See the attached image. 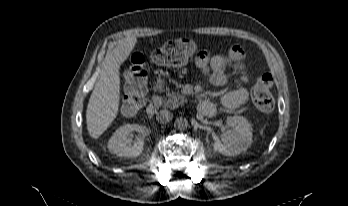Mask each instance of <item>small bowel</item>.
<instances>
[{
  "mask_svg": "<svg viewBox=\"0 0 348 206\" xmlns=\"http://www.w3.org/2000/svg\"><path fill=\"white\" fill-rule=\"evenodd\" d=\"M196 66L201 73L207 74L212 84L224 86L231 81L226 75L228 69L239 74L238 87L226 92L221 98L222 104L229 109L236 108L246 102L248 92L246 83L249 75L245 65V53L240 46H231L227 54L210 57L207 51H201L196 59Z\"/></svg>",
  "mask_w": 348,
  "mask_h": 206,
  "instance_id": "1",
  "label": "small bowel"
}]
</instances>
